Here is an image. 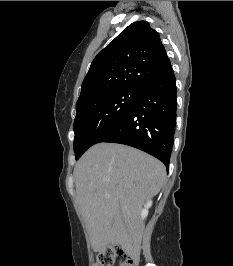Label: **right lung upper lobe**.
Returning <instances> with one entry per match:
<instances>
[{"instance_id": "obj_1", "label": "right lung upper lobe", "mask_w": 233, "mask_h": 266, "mask_svg": "<svg viewBox=\"0 0 233 266\" xmlns=\"http://www.w3.org/2000/svg\"><path fill=\"white\" fill-rule=\"evenodd\" d=\"M170 68L158 32L146 21L134 22L95 57L77 104L113 90H142Z\"/></svg>"}]
</instances>
